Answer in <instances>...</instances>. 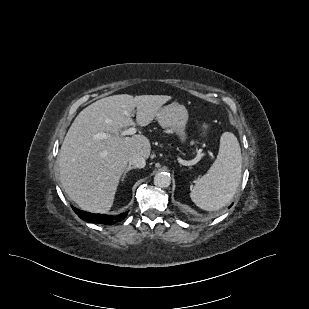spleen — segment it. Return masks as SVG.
<instances>
[{
  "label": "spleen",
  "mask_w": 309,
  "mask_h": 309,
  "mask_svg": "<svg viewBox=\"0 0 309 309\" xmlns=\"http://www.w3.org/2000/svg\"><path fill=\"white\" fill-rule=\"evenodd\" d=\"M241 169L239 142L233 133L224 132L215 162L191 190L192 201L206 211L221 209L234 197L241 180Z\"/></svg>",
  "instance_id": "1"
}]
</instances>
